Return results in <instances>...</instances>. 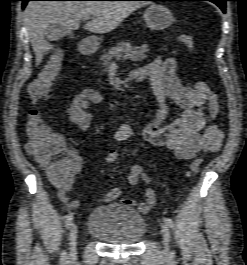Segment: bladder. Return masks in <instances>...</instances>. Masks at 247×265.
Returning a JSON list of instances; mask_svg holds the SVG:
<instances>
[{
	"instance_id": "obj_1",
	"label": "bladder",
	"mask_w": 247,
	"mask_h": 265,
	"mask_svg": "<svg viewBox=\"0 0 247 265\" xmlns=\"http://www.w3.org/2000/svg\"><path fill=\"white\" fill-rule=\"evenodd\" d=\"M86 230L106 244L133 245L144 237L146 224L138 211L112 203L96 207L89 213Z\"/></svg>"
}]
</instances>
